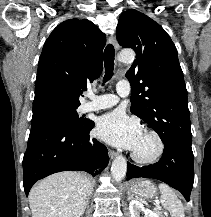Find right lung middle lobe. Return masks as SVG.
<instances>
[{
	"label": "right lung middle lobe",
	"mask_w": 211,
	"mask_h": 217,
	"mask_svg": "<svg viewBox=\"0 0 211 217\" xmlns=\"http://www.w3.org/2000/svg\"><path fill=\"white\" fill-rule=\"evenodd\" d=\"M44 125H57L78 131L87 125V119L79 118L76 109H71L51 112L31 121V127Z\"/></svg>",
	"instance_id": "obj_1"
}]
</instances>
